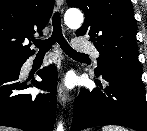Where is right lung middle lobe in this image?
<instances>
[{"instance_id":"obj_1","label":"right lung middle lobe","mask_w":147,"mask_h":131,"mask_svg":"<svg viewBox=\"0 0 147 131\" xmlns=\"http://www.w3.org/2000/svg\"><path fill=\"white\" fill-rule=\"evenodd\" d=\"M24 60L0 59V72L17 71L21 68Z\"/></svg>"}]
</instances>
